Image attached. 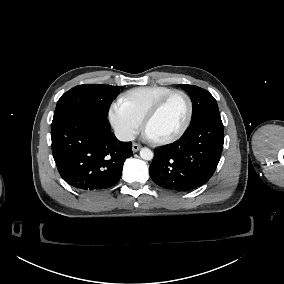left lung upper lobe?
I'll use <instances>...</instances> for the list:
<instances>
[{"label":"left lung upper lobe","mask_w":284,"mask_h":284,"mask_svg":"<svg viewBox=\"0 0 284 284\" xmlns=\"http://www.w3.org/2000/svg\"><path fill=\"white\" fill-rule=\"evenodd\" d=\"M180 87L189 93L192 100L193 113L191 123L208 116H220L216 100L207 90L186 84H181Z\"/></svg>","instance_id":"1"}]
</instances>
